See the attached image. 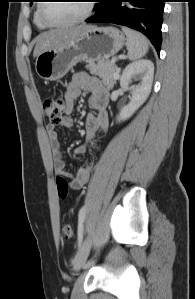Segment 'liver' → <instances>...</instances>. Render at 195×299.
<instances>
[{
    "label": "liver",
    "instance_id": "6515ba94",
    "mask_svg": "<svg viewBox=\"0 0 195 299\" xmlns=\"http://www.w3.org/2000/svg\"><path fill=\"white\" fill-rule=\"evenodd\" d=\"M89 26L81 25L68 28L54 29L40 34L36 38V45L33 56L38 57L42 52L61 46L70 40L78 37L82 31Z\"/></svg>",
    "mask_w": 195,
    "mask_h": 299
}]
</instances>
